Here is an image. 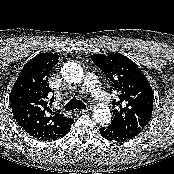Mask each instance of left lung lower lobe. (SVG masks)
Segmentation results:
<instances>
[{"label":"left lung lower lobe","mask_w":174,"mask_h":174,"mask_svg":"<svg viewBox=\"0 0 174 174\" xmlns=\"http://www.w3.org/2000/svg\"><path fill=\"white\" fill-rule=\"evenodd\" d=\"M100 134L105 139L115 140L117 142L127 141L129 139L135 138L138 135L137 133L122 129L114 125L100 128Z\"/></svg>","instance_id":"left-lung-lower-lobe-1"}]
</instances>
